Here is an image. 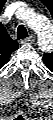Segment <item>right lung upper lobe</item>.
<instances>
[{
    "label": "right lung upper lobe",
    "instance_id": "right-lung-upper-lobe-1",
    "mask_svg": "<svg viewBox=\"0 0 53 120\" xmlns=\"http://www.w3.org/2000/svg\"><path fill=\"white\" fill-rule=\"evenodd\" d=\"M18 49V43L12 40L6 29L1 26L0 30V66H4L11 55L12 52Z\"/></svg>",
    "mask_w": 53,
    "mask_h": 120
}]
</instances>
